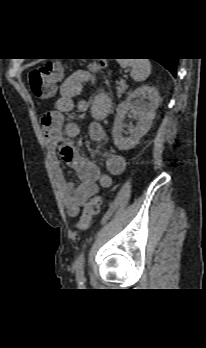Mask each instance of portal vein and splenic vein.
<instances>
[{
	"instance_id": "1",
	"label": "portal vein and splenic vein",
	"mask_w": 206,
	"mask_h": 348,
	"mask_svg": "<svg viewBox=\"0 0 206 348\" xmlns=\"http://www.w3.org/2000/svg\"><path fill=\"white\" fill-rule=\"evenodd\" d=\"M120 82H121V83H125V80L122 79Z\"/></svg>"
}]
</instances>
